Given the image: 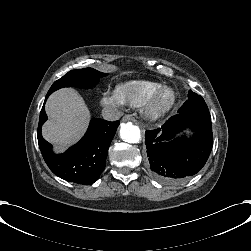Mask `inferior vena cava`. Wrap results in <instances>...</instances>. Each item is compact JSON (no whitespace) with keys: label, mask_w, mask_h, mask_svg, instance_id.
<instances>
[{"label":"inferior vena cava","mask_w":251,"mask_h":251,"mask_svg":"<svg viewBox=\"0 0 251 251\" xmlns=\"http://www.w3.org/2000/svg\"><path fill=\"white\" fill-rule=\"evenodd\" d=\"M102 116L107 121H116L121 118L122 112L115 108L107 106L103 108Z\"/></svg>","instance_id":"1"}]
</instances>
